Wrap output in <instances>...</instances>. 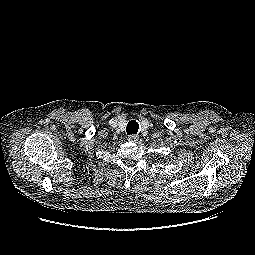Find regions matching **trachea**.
<instances>
[{
  "mask_svg": "<svg viewBox=\"0 0 255 255\" xmlns=\"http://www.w3.org/2000/svg\"><path fill=\"white\" fill-rule=\"evenodd\" d=\"M139 129V124L135 120H131L128 122L126 127V132L128 135L130 134H136Z\"/></svg>",
  "mask_w": 255,
  "mask_h": 255,
  "instance_id": "1",
  "label": "trachea"
}]
</instances>
